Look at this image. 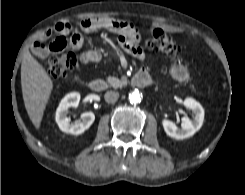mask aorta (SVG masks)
<instances>
[{"label": "aorta", "instance_id": "aorta-1", "mask_svg": "<svg viewBox=\"0 0 245 195\" xmlns=\"http://www.w3.org/2000/svg\"><path fill=\"white\" fill-rule=\"evenodd\" d=\"M129 101L132 103V104H137V103H140L141 101V98H140V93L135 90L133 91L132 93L129 94Z\"/></svg>", "mask_w": 245, "mask_h": 195}]
</instances>
